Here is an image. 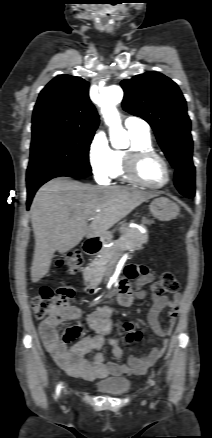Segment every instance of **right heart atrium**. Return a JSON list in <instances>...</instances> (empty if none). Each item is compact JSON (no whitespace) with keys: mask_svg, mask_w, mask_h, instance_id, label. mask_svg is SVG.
<instances>
[{"mask_svg":"<svg viewBox=\"0 0 212 438\" xmlns=\"http://www.w3.org/2000/svg\"><path fill=\"white\" fill-rule=\"evenodd\" d=\"M88 161L95 179L107 183L113 167L112 150L103 131H98L92 137L88 146Z\"/></svg>","mask_w":212,"mask_h":438,"instance_id":"d8ad5b80","label":"right heart atrium"}]
</instances>
